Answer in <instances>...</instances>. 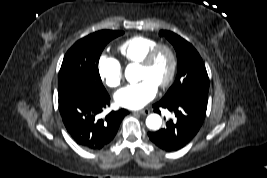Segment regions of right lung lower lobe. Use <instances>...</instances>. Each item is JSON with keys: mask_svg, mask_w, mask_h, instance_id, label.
<instances>
[{"mask_svg": "<svg viewBox=\"0 0 267 178\" xmlns=\"http://www.w3.org/2000/svg\"><path fill=\"white\" fill-rule=\"evenodd\" d=\"M109 102L107 92L84 86L59 91L58 103L63 123L79 146L87 150H100L114 139L128 111L119 109L101 118L100 114Z\"/></svg>", "mask_w": 267, "mask_h": 178, "instance_id": "1", "label": "right lung lower lobe"}]
</instances>
